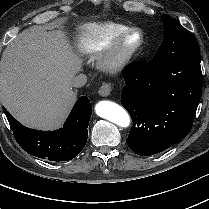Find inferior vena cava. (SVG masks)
Segmentation results:
<instances>
[{
  "instance_id": "inferior-vena-cava-1",
  "label": "inferior vena cava",
  "mask_w": 209,
  "mask_h": 209,
  "mask_svg": "<svg viewBox=\"0 0 209 209\" xmlns=\"http://www.w3.org/2000/svg\"><path fill=\"white\" fill-rule=\"evenodd\" d=\"M87 83V76L85 74H79L72 79L71 85L79 88L83 87Z\"/></svg>"
}]
</instances>
